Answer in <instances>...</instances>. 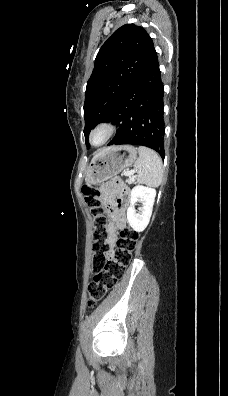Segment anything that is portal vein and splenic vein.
<instances>
[{
	"label": "portal vein and splenic vein",
	"mask_w": 228,
	"mask_h": 396,
	"mask_svg": "<svg viewBox=\"0 0 228 396\" xmlns=\"http://www.w3.org/2000/svg\"><path fill=\"white\" fill-rule=\"evenodd\" d=\"M133 174V171H127L126 173H125V176H131Z\"/></svg>",
	"instance_id": "18ae733b"
}]
</instances>
